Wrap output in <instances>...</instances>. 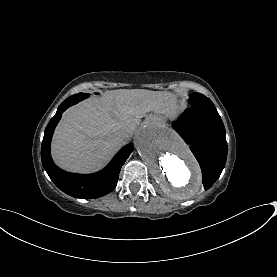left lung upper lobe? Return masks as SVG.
Masks as SVG:
<instances>
[{
  "mask_svg": "<svg viewBox=\"0 0 277 277\" xmlns=\"http://www.w3.org/2000/svg\"><path fill=\"white\" fill-rule=\"evenodd\" d=\"M189 109H195V110H207V111H213L217 112L213 102L207 98L206 96L200 94V93H192L189 98Z\"/></svg>",
  "mask_w": 277,
  "mask_h": 277,
  "instance_id": "1",
  "label": "left lung upper lobe"
}]
</instances>
